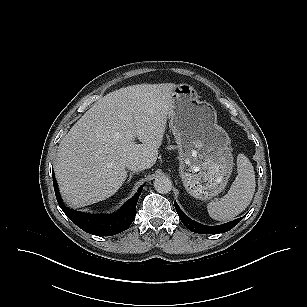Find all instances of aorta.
<instances>
[{
	"label": "aorta",
	"mask_w": 307,
	"mask_h": 307,
	"mask_svg": "<svg viewBox=\"0 0 307 307\" xmlns=\"http://www.w3.org/2000/svg\"><path fill=\"white\" fill-rule=\"evenodd\" d=\"M154 188L158 193L166 194L172 189V182L166 175H160L154 180Z\"/></svg>",
	"instance_id": "aorta-1"
}]
</instances>
